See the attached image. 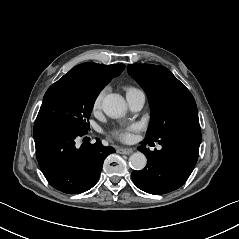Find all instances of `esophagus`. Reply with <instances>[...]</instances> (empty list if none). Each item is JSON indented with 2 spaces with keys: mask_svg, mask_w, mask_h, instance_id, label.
<instances>
[{
  "mask_svg": "<svg viewBox=\"0 0 239 239\" xmlns=\"http://www.w3.org/2000/svg\"><path fill=\"white\" fill-rule=\"evenodd\" d=\"M117 152L119 154H126V155H129L133 152V149L132 148H120L117 150Z\"/></svg>",
  "mask_w": 239,
  "mask_h": 239,
  "instance_id": "esophagus-1",
  "label": "esophagus"
}]
</instances>
